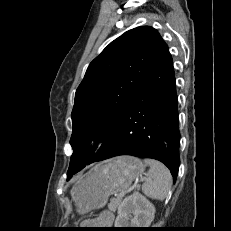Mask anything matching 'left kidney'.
<instances>
[{
  "mask_svg": "<svg viewBox=\"0 0 231 231\" xmlns=\"http://www.w3.org/2000/svg\"><path fill=\"white\" fill-rule=\"evenodd\" d=\"M155 207L140 193L126 197L118 208L115 228H148L154 219Z\"/></svg>",
  "mask_w": 231,
  "mask_h": 231,
  "instance_id": "5707ae66",
  "label": "left kidney"
}]
</instances>
